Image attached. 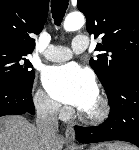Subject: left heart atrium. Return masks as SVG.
<instances>
[{"label": "left heart atrium", "mask_w": 139, "mask_h": 150, "mask_svg": "<svg viewBox=\"0 0 139 150\" xmlns=\"http://www.w3.org/2000/svg\"><path fill=\"white\" fill-rule=\"evenodd\" d=\"M43 84L55 100L83 110L97 99L94 76L75 63L48 68Z\"/></svg>", "instance_id": "obj_1"}]
</instances>
